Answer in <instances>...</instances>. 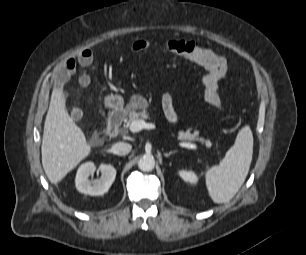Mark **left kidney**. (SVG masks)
Listing matches in <instances>:
<instances>
[{"mask_svg":"<svg viewBox=\"0 0 306 255\" xmlns=\"http://www.w3.org/2000/svg\"><path fill=\"white\" fill-rule=\"evenodd\" d=\"M179 176L185 181L192 184H196L198 182V176L193 171H188L182 169L179 171Z\"/></svg>","mask_w":306,"mask_h":255,"instance_id":"obj_1","label":"left kidney"}]
</instances>
